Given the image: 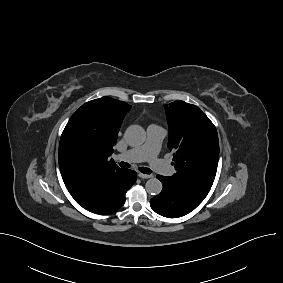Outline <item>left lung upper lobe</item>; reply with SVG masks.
Returning <instances> with one entry per match:
<instances>
[{"label": "left lung upper lobe", "instance_id": "obj_1", "mask_svg": "<svg viewBox=\"0 0 283 283\" xmlns=\"http://www.w3.org/2000/svg\"><path fill=\"white\" fill-rule=\"evenodd\" d=\"M165 106L168 148L174 152L172 164L176 170L171 177L203 201L217 171L219 141L216 128L195 105L176 101Z\"/></svg>", "mask_w": 283, "mask_h": 283}]
</instances>
